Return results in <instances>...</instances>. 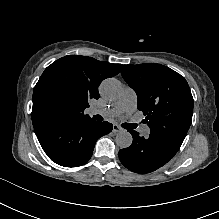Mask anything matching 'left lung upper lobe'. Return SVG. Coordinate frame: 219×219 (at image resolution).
<instances>
[{"label":"left lung upper lobe","instance_id":"1","mask_svg":"<svg viewBox=\"0 0 219 219\" xmlns=\"http://www.w3.org/2000/svg\"><path fill=\"white\" fill-rule=\"evenodd\" d=\"M121 74L137 94L150 135L179 150L193 115V97L185 78L157 63L123 65Z\"/></svg>","mask_w":219,"mask_h":219}]
</instances>
